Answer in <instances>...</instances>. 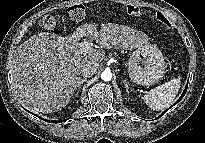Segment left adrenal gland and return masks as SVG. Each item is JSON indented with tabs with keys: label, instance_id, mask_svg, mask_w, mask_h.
Returning <instances> with one entry per match:
<instances>
[{
	"label": "left adrenal gland",
	"instance_id": "left-adrenal-gland-1",
	"mask_svg": "<svg viewBox=\"0 0 205 143\" xmlns=\"http://www.w3.org/2000/svg\"><path fill=\"white\" fill-rule=\"evenodd\" d=\"M124 86L126 88V92L129 93V86H128L126 79L124 80Z\"/></svg>",
	"mask_w": 205,
	"mask_h": 143
}]
</instances>
